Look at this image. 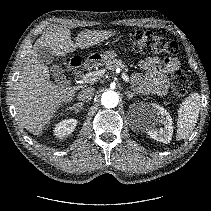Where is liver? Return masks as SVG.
<instances>
[{
    "label": "liver",
    "mask_w": 211,
    "mask_h": 211,
    "mask_svg": "<svg viewBox=\"0 0 211 211\" xmlns=\"http://www.w3.org/2000/svg\"><path fill=\"white\" fill-rule=\"evenodd\" d=\"M112 35L114 32L109 30H85L78 34L74 43L69 29L56 28L36 40L11 94L18 119L25 129L39 136L55 116L57 108L62 103L70 102L76 91L82 88L54 84L50 80L48 68L38 59V47H47L59 57L76 48L94 46Z\"/></svg>",
    "instance_id": "6515ba94"
}]
</instances>
